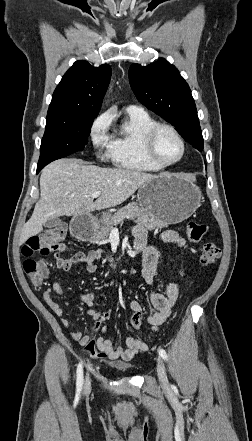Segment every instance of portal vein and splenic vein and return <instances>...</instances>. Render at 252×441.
<instances>
[{"instance_id":"18ae733b","label":"portal vein and splenic vein","mask_w":252,"mask_h":441,"mask_svg":"<svg viewBox=\"0 0 252 441\" xmlns=\"http://www.w3.org/2000/svg\"><path fill=\"white\" fill-rule=\"evenodd\" d=\"M100 195H101V193H100L99 191L94 192V193L92 194V198H97V197H99ZM126 218L129 219V218H131V217H130V216H127Z\"/></svg>"}]
</instances>
